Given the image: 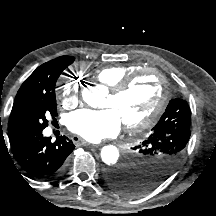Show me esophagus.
Masks as SVG:
<instances>
[{
  "mask_svg": "<svg viewBox=\"0 0 216 216\" xmlns=\"http://www.w3.org/2000/svg\"><path fill=\"white\" fill-rule=\"evenodd\" d=\"M72 140L75 144H80V145H84V146H93L92 144H90L89 142L85 141L83 138H81L78 135H74L72 136Z\"/></svg>",
  "mask_w": 216,
  "mask_h": 216,
  "instance_id": "34e87169",
  "label": "esophagus"
}]
</instances>
